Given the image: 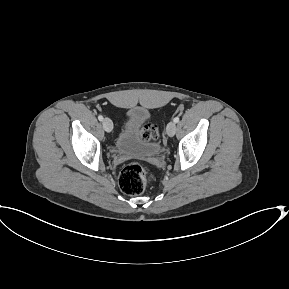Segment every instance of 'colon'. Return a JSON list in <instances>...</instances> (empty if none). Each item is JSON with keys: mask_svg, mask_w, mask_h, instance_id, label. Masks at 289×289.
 <instances>
[{"mask_svg": "<svg viewBox=\"0 0 289 289\" xmlns=\"http://www.w3.org/2000/svg\"><path fill=\"white\" fill-rule=\"evenodd\" d=\"M143 137L147 140L159 138L158 128L153 123H147L143 127ZM151 175L147 169L139 163L133 162L126 165L119 177V186L127 195H139L151 183Z\"/></svg>", "mask_w": 289, "mask_h": 289, "instance_id": "1", "label": "colon"}]
</instances>
